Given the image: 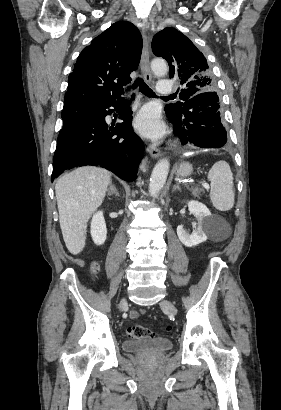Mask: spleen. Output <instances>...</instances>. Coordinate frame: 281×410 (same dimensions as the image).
I'll return each mask as SVG.
<instances>
[{
  "instance_id": "3e777b00",
  "label": "spleen",
  "mask_w": 281,
  "mask_h": 410,
  "mask_svg": "<svg viewBox=\"0 0 281 410\" xmlns=\"http://www.w3.org/2000/svg\"><path fill=\"white\" fill-rule=\"evenodd\" d=\"M210 200L219 211H228L234 205L233 174L226 161L216 162L208 173Z\"/></svg>"
}]
</instances>
